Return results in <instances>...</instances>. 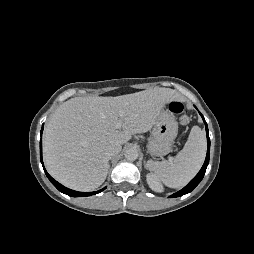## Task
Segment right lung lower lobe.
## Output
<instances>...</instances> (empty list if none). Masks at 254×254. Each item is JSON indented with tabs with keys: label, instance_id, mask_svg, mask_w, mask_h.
<instances>
[{
	"label": "right lung lower lobe",
	"instance_id": "1",
	"mask_svg": "<svg viewBox=\"0 0 254 254\" xmlns=\"http://www.w3.org/2000/svg\"><path fill=\"white\" fill-rule=\"evenodd\" d=\"M42 131H43V127L41 129V136H42ZM40 160H41V163H42V166H43V161H42V139L40 140ZM44 168V166H43ZM44 171L46 173V176L48 177V179L51 181V183L62 193L66 194V195H69V196H72V197H83V196H90V195H95V194H98L100 193L101 191H103L105 188L99 190V191H94V192H78V191H74V190H71V189H68L66 187H64L63 185H61L60 183H58L57 181H55L48 173L47 171L45 170L44 168Z\"/></svg>",
	"mask_w": 254,
	"mask_h": 254
}]
</instances>
